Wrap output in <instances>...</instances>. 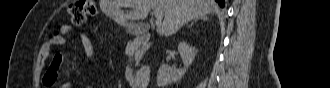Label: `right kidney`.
Here are the masks:
<instances>
[{
    "label": "right kidney",
    "instance_id": "right-kidney-1",
    "mask_svg": "<svg viewBox=\"0 0 330 88\" xmlns=\"http://www.w3.org/2000/svg\"><path fill=\"white\" fill-rule=\"evenodd\" d=\"M178 51L184 63V67L182 69H173L168 64L161 65L157 73V86L164 87L181 80L188 70V67L194 61L197 53V50L185 41L179 43Z\"/></svg>",
    "mask_w": 330,
    "mask_h": 88
}]
</instances>
